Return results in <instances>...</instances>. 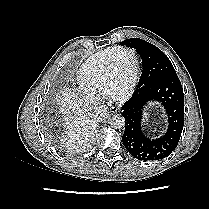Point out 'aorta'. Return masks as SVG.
I'll return each mask as SVG.
<instances>
[{
    "label": "aorta",
    "mask_w": 209,
    "mask_h": 209,
    "mask_svg": "<svg viewBox=\"0 0 209 209\" xmlns=\"http://www.w3.org/2000/svg\"><path fill=\"white\" fill-rule=\"evenodd\" d=\"M109 124L112 128L121 129L125 125V119L122 115L116 114L110 118Z\"/></svg>",
    "instance_id": "1"
}]
</instances>
